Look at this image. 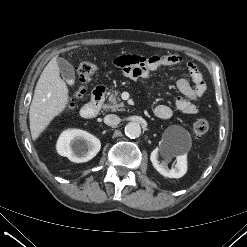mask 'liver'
Wrapping results in <instances>:
<instances>
[{
    "mask_svg": "<svg viewBox=\"0 0 247 247\" xmlns=\"http://www.w3.org/2000/svg\"><path fill=\"white\" fill-rule=\"evenodd\" d=\"M59 72L57 59L54 57L44 68L36 84L29 110L33 140H36L50 122L68 106L69 91Z\"/></svg>",
    "mask_w": 247,
    "mask_h": 247,
    "instance_id": "1",
    "label": "liver"
}]
</instances>
